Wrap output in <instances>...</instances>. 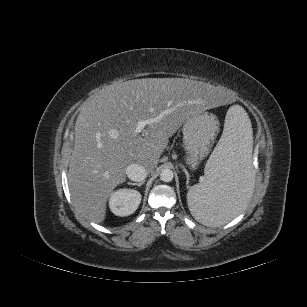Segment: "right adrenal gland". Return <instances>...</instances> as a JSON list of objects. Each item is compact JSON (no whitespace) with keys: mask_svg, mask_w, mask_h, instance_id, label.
Segmentation results:
<instances>
[{"mask_svg":"<svg viewBox=\"0 0 307 307\" xmlns=\"http://www.w3.org/2000/svg\"><path fill=\"white\" fill-rule=\"evenodd\" d=\"M143 183H144V181H141V182H139V183L128 182V185H133V186H138V187H140Z\"/></svg>","mask_w":307,"mask_h":307,"instance_id":"obj_1","label":"right adrenal gland"}]
</instances>
